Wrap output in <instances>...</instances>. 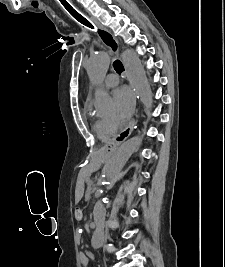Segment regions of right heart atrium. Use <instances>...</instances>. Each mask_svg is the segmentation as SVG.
<instances>
[{
	"instance_id": "d8ad5b80",
	"label": "right heart atrium",
	"mask_w": 225,
	"mask_h": 267,
	"mask_svg": "<svg viewBox=\"0 0 225 267\" xmlns=\"http://www.w3.org/2000/svg\"><path fill=\"white\" fill-rule=\"evenodd\" d=\"M104 126L106 130L111 134H113L118 128L116 122L111 119H104Z\"/></svg>"
}]
</instances>
